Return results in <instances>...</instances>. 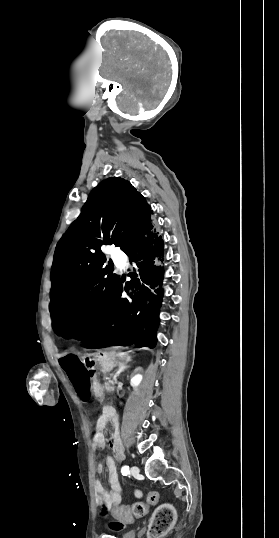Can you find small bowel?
I'll return each mask as SVG.
<instances>
[{"label":"small bowel","instance_id":"c3829d8e","mask_svg":"<svg viewBox=\"0 0 279 538\" xmlns=\"http://www.w3.org/2000/svg\"><path fill=\"white\" fill-rule=\"evenodd\" d=\"M68 378L78 398L82 401H88L93 394V381L90 373L84 369L75 370L68 373ZM108 424H111L113 428V433L108 440L109 446L114 456L116 458H121L123 447L119 435V423L114 413L110 415L103 414L96 422L93 446L99 449L105 447L107 439L105 437L104 429ZM105 467L108 470L110 488L106 491L102 484L97 481L95 488L98 493V499L100 503L104 502L108 506H116L121 502L123 486L119 480L116 463L113 457H107L105 464L99 463L97 465V472L102 473ZM137 495H139V493H137ZM120 527L121 525H116V528Z\"/></svg>","mask_w":279,"mask_h":538}]
</instances>
